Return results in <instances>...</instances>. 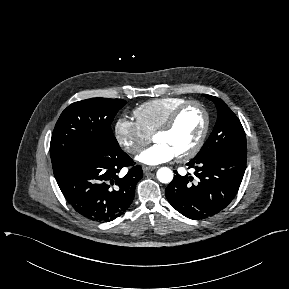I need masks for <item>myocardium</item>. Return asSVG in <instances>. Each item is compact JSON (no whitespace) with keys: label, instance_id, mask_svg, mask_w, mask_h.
Masks as SVG:
<instances>
[{"label":"myocardium","instance_id":"f54148a6","mask_svg":"<svg viewBox=\"0 0 289 289\" xmlns=\"http://www.w3.org/2000/svg\"><path fill=\"white\" fill-rule=\"evenodd\" d=\"M191 106H196L201 110V112L203 113V116H204V124H203L202 130H201V133H200L198 139L196 140L195 144L187 152L176 156L179 161L190 160L196 154H198V152L201 150V148H202V146L206 140V137H207V134L209 131V127H210V115H209L207 108L200 101L187 100L186 102H184L183 104L178 106L170 114V116L167 118V120L153 133V139H154V137L156 135L161 134V133H166V132H169L170 130H172L173 127L175 126L177 120L181 116V114L187 108H189Z\"/></svg>","mask_w":289,"mask_h":289}]
</instances>
